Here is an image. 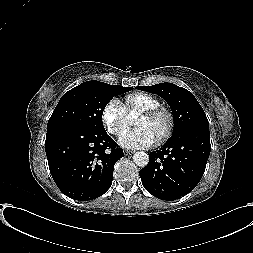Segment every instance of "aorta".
I'll use <instances>...</instances> for the list:
<instances>
[{
	"instance_id": "1",
	"label": "aorta",
	"mask_w": 253,
	"mask_h": 253,
	"mask_svg": "<svg viewBox=\"0 0 253 253\" xmlns=\"http://www.w3.org/2000/svg\"><path fill=\"white\" fill-rule=\"evenodd\" d=\"M133 161L137 166L145 167L149 162V155L145 152H136L133 155Z\"/></svg>"
}]
</instances>
